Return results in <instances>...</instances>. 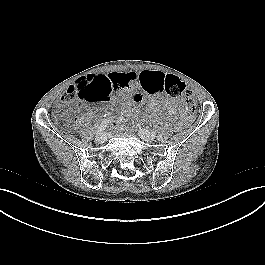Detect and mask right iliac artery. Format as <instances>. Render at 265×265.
<instances>
[{"label":"right iliac artery","instance_id":"1","mask_svg":"<svg viewBox=\"0 0 265 265\" xmlns=\"http://www.w3.org/2000/svg\"><path fill=\"white\" fill-rule=\"evenodd\" d=\"M109 122H111V119H110V118L104 120V121L99 125V127H98L96 133H97V134H100L101 132H103V131L106 129V127L108 126V123H109Z\"/></svg>","mask_w":265,"mask_h":265}]
</instances>
